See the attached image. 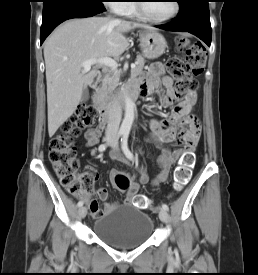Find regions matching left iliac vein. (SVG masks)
Segmentation results:
<instances>
[{"label":"left iliac vein","instance_id":"obj_1","mask_svg":"<svg viewBox=\"0 0 258 275\" xmlns=\"http://www.w3.org/2000/svg\"><path fill=\"white\" fill-rule=\"evenodd\" d=\"M112 148H113L114 151H116V152L118 151V142L117 141H115L112 144ZM159 218H160L161 221L167 222V220H168V213H167V211L164 210V209H161L160 212H159Z\"/></svg>","mask_w":258,"mask_h":275}]
</instances>
